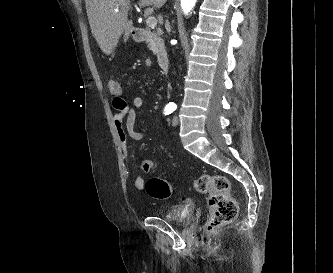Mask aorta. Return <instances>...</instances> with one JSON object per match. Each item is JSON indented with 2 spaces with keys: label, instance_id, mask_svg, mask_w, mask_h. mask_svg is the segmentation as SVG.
Masks as SVG:
<instances>
[{
  "label": "aorta",
  "instance_id": "1",
  "mask_svg": "<svg viewBox=\"0 0 333 273\" xmlns=\"http://www.w3.org/2000/svg\"><path fill=\"white\" fill-rule=\"evenodd\" d=\"M197 0H181V8L184 12V14L190 13L192 9L194 8Z\"/></svg>",
  "mask_w": 333,
  "mask_h": 273
}]
</instances>
